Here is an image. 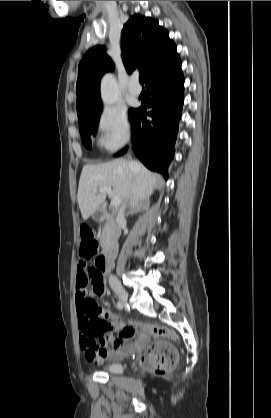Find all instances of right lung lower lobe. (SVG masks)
Listing matches in <instances>:
<instances>
[{"label":"right lung lower lobe","instance_id":"right-lung-lower-lobe-1","mask_svg":"<svg viewBox=\"0 0 271 418\" xmlns=\"http://www.w3.org/2000/svg\"><path fill=\"white\" fill-rule=\"evenodd\" d=\"M147 92L152 96L148 107L137 108L132 115L133 148L143 164L168 177L167 167L173 158L178 121L181 118L184 92V76L181 60L153 76L147 82ZM146 115L152 120L147 121ZM127 148L117 154L122 155Z\"/></svg>","mask_w":271,"mask_h":418}]
</instances>
